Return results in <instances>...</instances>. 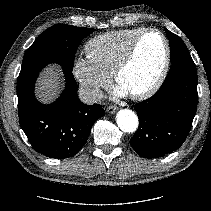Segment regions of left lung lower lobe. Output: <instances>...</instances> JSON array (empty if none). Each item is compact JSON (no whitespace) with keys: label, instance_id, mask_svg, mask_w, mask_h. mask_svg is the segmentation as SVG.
I'll list each match as a JSON object with an SVG mask.
<instances>
[{"label":"left lung lower lobe","instance_id":"1","mask_svg":"<svg viewBox=\"0 0 211 211\" xmlns=\"http://www.w3.org/2000/svg\"><path fill=\"white\" fill-rule=\"evenodd\" d=\"M170 45L178 43L169 38ZM159 88L149 99L134 105L139 127L130 140L144 158H157L182 146L197 110V71L191 55L179 56Z\"/></svg>","mask_w":211,"mask_h":211}]
</instances>
